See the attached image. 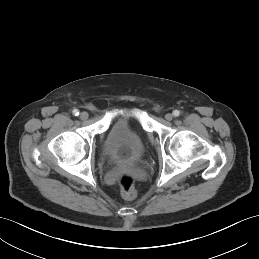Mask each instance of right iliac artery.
Masks as SVG:
<instances>
[{"label":"right iliac artery","mask_w":259,"mask_h":259,"mask_svg":"<svg viewBox=\"0 0 259 259\" xmlns=\"http://www.w3.org/2000/svg\"><path fill=\"white\" fill-rule=\"evenodd\" d=\"M73 114H74L75 116H78V115H79V111H78L77 109H74V110H73Z\"/></svg>","instance_id":"1"}]
</instances>
